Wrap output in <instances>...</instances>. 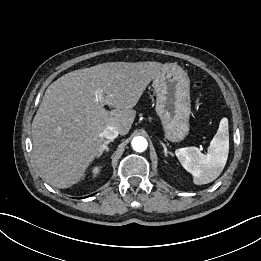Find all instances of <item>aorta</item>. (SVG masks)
I'll use <instances>...</instances> for the list:
<instances>
[{
  "instance_id": "obj_1",
  "label": "aorta",
  "mask_w": 261,
  "mask_h": 261,
  "mask_svg": "<svg viewBox=\"0 0 261 261\" xmlns=\"http://www.w3.org/2000/svg\"><path fill=\"white\" fill-rule=\"evenodd\" d=\"M148 142L142 136L134 137L132 140V147L136 152H143L147 149Z\"/></svg>"
}]
</instances>
